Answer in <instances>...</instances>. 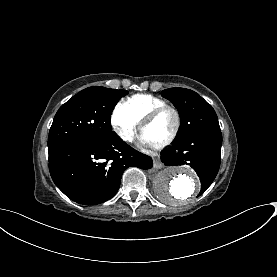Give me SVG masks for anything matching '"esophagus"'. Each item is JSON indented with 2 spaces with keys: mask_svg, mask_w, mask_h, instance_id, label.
<instances>
[{
  "mask_svg": "<svg viewBox=\"0 0 277 277\" xmlns=\"http://www.w3.org/2000/svg\"><path fill=\"white\" fill-rule=\"evenodd\" d=\"M153 167L155 169H161L163 167V164H162V162L160 161L159 158H154V160H153Z\"/></svg>",
  "mask_w": 277,
  "mask_h": 277,
  "instance_id": "34e87169",
  "label": "esophagus"
}]
</instances>
